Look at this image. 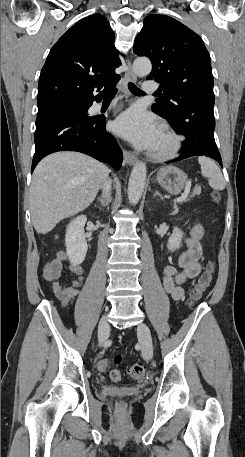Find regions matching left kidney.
I'll return each mask as SVG.
<instances>
[{
	"label": "left kidney",
	"mask_w": 245,
	"mask_h": 457,
	"mask_svg": "<svg viewBox=\"0 0 245 457\" xmlns=\"http://www.w3.org/2000/svg\"><path fill=\"white\" fill-rule=\"evenodd\" d=\"M183 233L178 229V226H174L173 233L171 237L168 239L167 247L168 251H176V249H180L181 241H182Z\"/></svg>",
	"instance_id": "5707ae66"
}]
</instances>
